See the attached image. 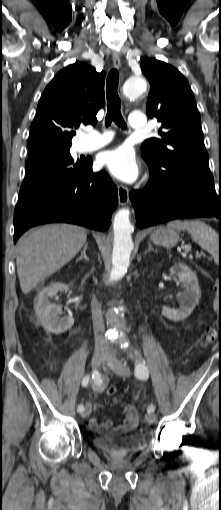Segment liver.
Instances as JSON below:
<instances>
[{"instance_id":"liver-1","label":"liver","mask_w":221,"mask_h":510,"mask_svg":"<svg viewBox=\"0 0 221 510\" xmlns=\"http://www.w3.org/2000/svg\"><path fill=\"white\" fill-rule=\"evenodd\" d=\"M84 228L69 224L45 225L23 235L16 245L17 274L24 294L60 270L86 243Z\"/></svg>"}]
</instances>
